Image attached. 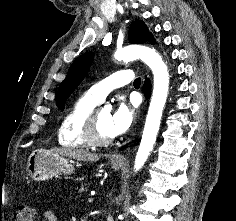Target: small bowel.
I'll return each instance as SVG.
<instances>
[{"label":"small bowel","instance_id":"c3829d8e","mask_svg":"<svg viewBox=\"0 0 236 221\" xmlns=\"http://www.w3.org/2000/svg\"><path fill=\"white\" fill-rule=\"evenodd\" d=\"M44 221H58L57 211L55 209H47L44 212Z\"/></svg>","mask_w":236,"mask_h":221}]
</instances>
